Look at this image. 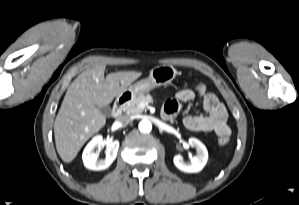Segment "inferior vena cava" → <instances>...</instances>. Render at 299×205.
<instances>
[{
	"label": "inferior vena cava",
	"instance_id": "602c4592",
	"mask_svg": "<svg viewBox=\"0 0 299 205\" xmlns=\"http://www.w3.org/2000/svg\"><path fill=\"white\" fill-rule=\"evenodd\" d=\"M116 122L120 126H125V125H128L130 123V118L128 116H120V117L117 118Z\"/></svg>",
	"mask_w": 299,
	"mask_h": 205
}]
</instances>
